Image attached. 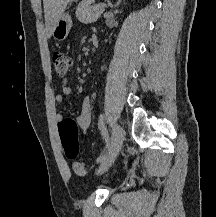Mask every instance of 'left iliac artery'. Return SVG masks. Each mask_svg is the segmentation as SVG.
I'll return each instance as SVG.
<instances>
[{
	"label": "left iliac artery",
	"instance_id": "44dca946",
	"mask_svg": "<svg viewBox=\"0 0 216 217\" xmlns=\"http://www.w3.org/2000/svg\"><path fill=\"white\" fill-rule=\"evenodd\" d=\"M104 119H105L104 114H101L99 116L98 127L101 131V134L105 140L106 145H105V149L102 152V154L97 158L98 163L102 162L106 158V155H107L109 147H110V138H109L108 131L106 130V127L104 124Z\"/></svg>",
	"mask_w": 216,
	"mask_h": 217
}]
</instances>
